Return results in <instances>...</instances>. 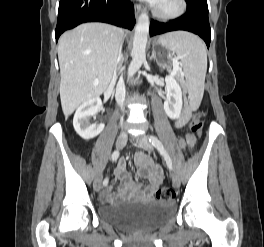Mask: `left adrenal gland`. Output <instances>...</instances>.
<instances>
[{"label":"left adrenal gland","mask_w":264,"mask_h":247,"mask_svg":"<svg viewBox=\"0 0 264 247\" xmlns=\"http://www.w3.org/2000/svg\"><path fill=\"white\" fill-rule=\"evenodd\" d=\"M150 60H156L157 61V58H156V53H155V50L153 49L152 51V55L151 57L149 58Z\"/></svg>","instance_id":"1"}]
</instances>
